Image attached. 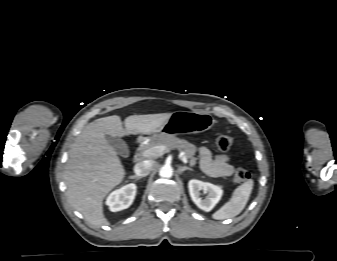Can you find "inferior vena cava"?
I'll list each match as a JSON object with an SVG mask.
<instances>
[{"mask_svg": "<svg viewBox=\"0 0 337 261\" xmlns=\"http://www.w3.org/2000/svg\"><path fill=\"white\" fill-rule=\"evenodd\" d=\"M152 165V161L139 162L134 166V172L137 176L145 177L150 173Z\"/></svg>", "mask_w": 337, "mask_h": 261, "instance_id": "1", "label": "inferior vena cava"}]
</instances>
